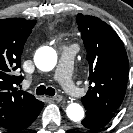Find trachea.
Segmentation results:
<instances>
[{"instance_id":"trachea-1","label":"trachea","mask_w":133,"mask_h":133,"mask_svg":"<svg viewBox=\"0 0 133 133\" xmlns=\"http://www.w3.org/2000/svg\"><path fill=\"white\" fill-rule=\"evenodd\" d=\"M36 94L37 95H48V96H54L55 95V90L51 87L46 88L44 85H40L36 89Z\"/></svg>"}]
</instances>
